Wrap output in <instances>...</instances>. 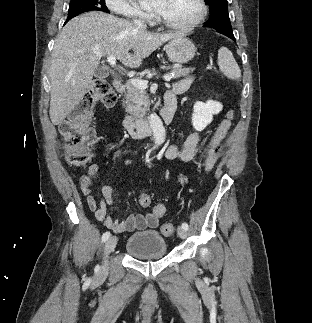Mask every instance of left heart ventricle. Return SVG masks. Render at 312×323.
I'll return each mask as SVG.
<instances>
[{
    "mask_svg": "<svg viewBox=\"0 0 312 323\" xmlns=\"http://www.w3.org/2000/svg\"><path fill=\"white\" fill-rule=\"evenodd\" d=\"M161 12L168 22H177L178 18L186 22L187 14H199V2L197 0H166Z\"/></svg>",
    "mask_w": 312,
    "mask_h": 323,
    "instance_id": "b2bd125f",
    "label": "left heart ventricle"
}]
</instances>
